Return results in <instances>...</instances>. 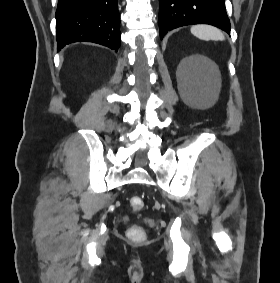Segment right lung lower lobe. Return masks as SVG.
Wrapping results in <instances>:
<instances>
[{"mask_svg":"<svg viewBox=\"0 0 280 283\" xmlns=\"http://www.w3.org/2000/svg\"><path fill=\"white\" fill-rule=\"evenodd\" d=\"M118 0H58L57 49L74 42H94L118 51L120 15Z\"/></svg>","mask_w":280,"mask_h":283,"instance_id":"98d812e1","label":"right lung lower lobe"}]
</instances>
